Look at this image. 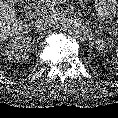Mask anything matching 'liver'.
<instances>
[{
  "label": "liver",
  "mask_w": 118,
  "mask_h": 118,
  "mask_svg": "<svg viewBox=\"0 0 118 118\" xmlns=\"http://www.w3.org/2000/svg\"><path fill=\"white\" fill-rule=\"evenodd\" d=\"M56 3L57 0H48ZM66 2L67 0H58ZM13 0H0V43L10 37L19 36L25 27L29 25L16 16L15 8H12Z\"/></svg>",
  "instance_id": "obj_1"
}]
</instances>
